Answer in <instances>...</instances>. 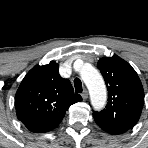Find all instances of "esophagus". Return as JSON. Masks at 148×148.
<instances>
[{"mask_svg":"<svg viewBox=\"0 0 148 148\" xmlns=\"http://www.w3.org/2000/svg\"><path fill=\"white\" fill-rule=\"evenodd\" d=\"M82 98L83 99H87L88 98V91L87 89H84L83 92H82Z\"/></svg>","mask_w":148,"mask_h":148,"instance_id":"obj_1","label":"esophagus"}]
</instances>
